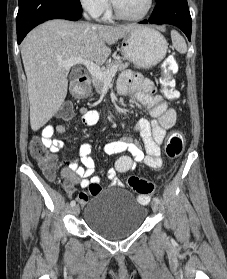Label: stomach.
<instances>
[{
	"instance_id": "obj_1",
	"label": "stomach",
	"mask_w": 227,
	"mask_h": 279,
	"mask_svg": "<svg viewBox=\"0 0 227 279\" xmlns=\"http://www.w3.org/2000/svg\"><path fill=\"white\" fill-rule=\"evenodd\" d=\"M123 56L138 68L156 66L166 56L168 43L164 36L150 27H138L128 33L121 45Z\"/></svg>"
}]
</instances>
